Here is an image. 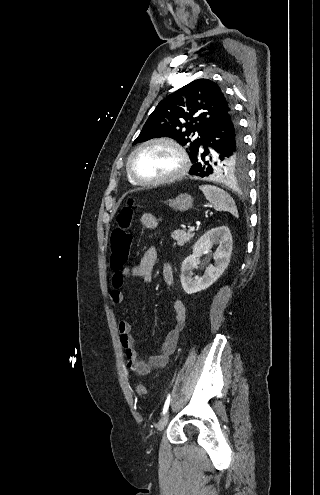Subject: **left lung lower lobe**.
Returning a JSON list of instances; mask_svg holds the SVG:
<instances>
[{
    "instance_id": "1",
    "label": "left lung lower lobe",
    "mask_w": 320,
    "mask_h": 495,
    "mask_svg": "<svg viewBox=\"0 0 320 495\" xmlns=\"http://www.w3.org/2000/svg\"><path fill=\"white\" fill-rule=\"evenodd\" d=\"M239 126L233 110L219 119L211 132L208 133L199 151L190 159L194 163L189 174L205 177L212 175L210 162L206 155L212 150L230 148L234 151L238 146Z\"/></svg>"
}]
</instances>
